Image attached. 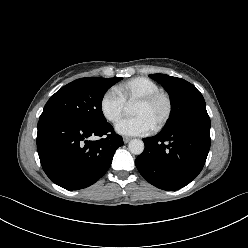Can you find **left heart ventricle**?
<instances>
[{
	"instance_id": "b2bd125f",
	"label": "left heart ventricle",
	"mask_w": 248,
	"mask_h": 248,
	"mask_svg": "<svg viewBox=\"0 0 248 248\" xmlns=\"http://www.w3.org/2000/svg\"><path fill=\"white\" fill-rule=\"evenodd\" d=\"M133 114L145 117L154 127L163 118L166 112V102L160 99L153 104L143 105L135 104L133 107Z\"/></svg>"
}]
</instances>
